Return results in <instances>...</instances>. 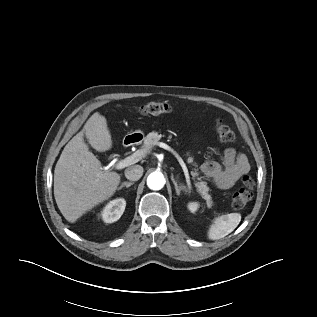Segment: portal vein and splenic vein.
Returning a JSON list of instances; mask_svg holds the SVG:
<instances>
[{
    "instance_id": "18ae733b",
    "label": "portal vein and splenic vein",
    "mask_w": 317,
    "mask_h": 317,
    "mask_svg": "<svg viewBox=\"0 0 317 317\" xmlns=\"http://www.w3.org/2000/svg\"><path fill=\"white\" fill-rule=\"evenodd\" d=\"M159 147L171 152L178 160L179 164L181 165L186 181L189 182L190 181V176H189V171L188 168L186 166V163L183 161V159L180 157V155L169 145L163 143V142H159L158 143ZM146 155V152L143 150H137L135 153H133L131 156L120 160L116 163V169H123L129 165H132L134 163L139 162L142 158H144Z\"/></svg>"
}]
</instances>
